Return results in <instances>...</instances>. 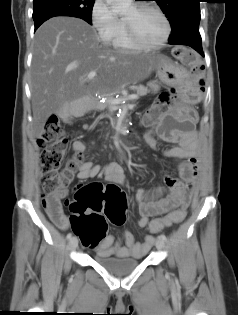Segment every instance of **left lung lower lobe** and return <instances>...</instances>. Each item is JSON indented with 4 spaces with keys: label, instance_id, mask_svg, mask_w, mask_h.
Masks as SVG:
<instances>
[{
    "label": "left lung lower lobe",
    "instance_id": "0a47b994",
    "mask_svg": "<svg viewBox=\"0 0 238 315\" xmlns=\"http://www.w3.org/2000/svg\"><path fill=\"white\" fill-rule=\"evenodd\" d=\"M169 43L172 45L174 44L188 45L195 49L197 52H199L201 55H204L202 50V42L199 33V28L189 29L180 34L178 37L174 39H169Z\"/></svg>",
    "mask_w": 238,
    "mask_h": 315
}]
</instances>
